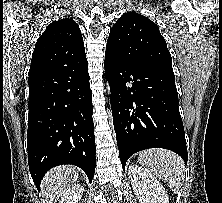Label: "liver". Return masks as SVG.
Returning a JSON list of instances; mask_svg holds the SVG:
<instances>
[{"mask_svg": "<svg viewBox=\"0 0 222 203\" xmlns=\"http://www.w3.org/2000/svg\"><path fill=\"white\" fill-rule=\"evenodd\" d=\"M78 177L79 169L71 165L58 166L48 171L41 182L42 195L47 203H56Z\"/></svg>", "mask_w": 222, "mask_h": 203, "instance_id": "obj_1", "label": "liver"}]
</instances>
